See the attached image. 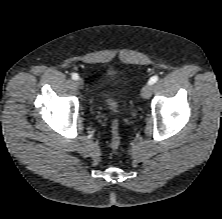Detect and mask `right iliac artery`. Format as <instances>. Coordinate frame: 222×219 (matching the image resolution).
I'll return each instance as SVG.
<instances>
[{"instance_id":"obj_1","label":"right iliac artery","mask_w":222,"mask_h":219,"mask_svg":"<svg viewBox=\"0 0 222 219\" xmlns=\"http://www.w3.org/2000/svg\"><path fill=\"white\" fill-rule=\"evenodd\" d=\"M71 76H72V79L74 80H77L79 77L77 73H73Z\"/></svg>"}]
</instances>
